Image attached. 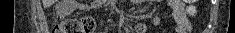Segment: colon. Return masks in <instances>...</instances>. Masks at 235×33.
I'll return each instance as SVG.
<instances>
[{"label":"colon","mask_w":235,"mask_h":33,"mask_svg":"<svg viewBox=\"0 0 235 33\" xmlns=\"http://www.w3.org/2000/svg\"><path fill=\"white\" fill-rule=\"evenodd\" d=\"M188 2L192 3L194 0H188ZM188 12L190 15H193L195 13V8L190 6ZM96 26V21L91 16L70 18L54 24L52 33H93Z\"/></svg>","instance_id":"obj_1"}]
</instances>
